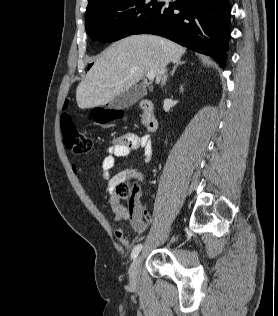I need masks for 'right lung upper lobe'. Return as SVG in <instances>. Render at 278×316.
<instances>
[{"instance_id":"cb5924a9","label":"right lung upper lobe","mask_w":278,"mask_h":316,"mask_svg":"<svg viewBox=\"0 0 278 316\" xmlns=\"http://www.w3.org/2000/svg\"><path fill=\"white\" fill-rule=\"evenodd\" d=\"M107 1H110V0H89L88 7H87L86 11L90 10L91 8H93L95 6L103 4V3L107 2Z\"/></svg>"}]
</instances>
